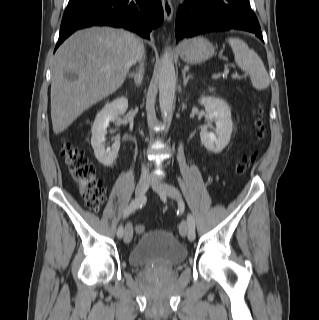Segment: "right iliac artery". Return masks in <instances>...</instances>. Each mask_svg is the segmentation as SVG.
<instances>
[{"label":"right iliac artery","mask_w":319,"mask_h":320,"mask_svg":"<svg viewBox=\"0 0 319 320\" xmlns=\"http://www.w3.org/2000/svg\"><path fill=\"white\" fill-rule=\"evenodd\" d=\"M146 203V197L140 196L133 200L130 205L126 208L123 214V218L128 217L131 213H133L136 209L141 208ZM123 227L120 225L117 230V237L122 238L123 237Z\"/></svg>","instance_id":"82829eb1"}]
</instances>
